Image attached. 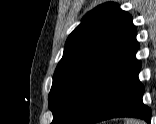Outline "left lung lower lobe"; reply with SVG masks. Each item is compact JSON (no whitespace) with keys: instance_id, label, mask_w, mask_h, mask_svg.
Listing matches in <instances>:
<instances>
[{"instance_id":"1","label":"left lung lower lobe","mask_w":156,"mask_h":124,"mask_svg":"<svg viewBox=\"0 0 156 124\" xmlns=\"http://www.w3.org/2000/svg\"><path fill=\"white\" fill-rule=\"evenodd\" d=\"M138 46L107 78L78 124H92L114 117H136L150 123L151 110L142 102L144 87L138 79L141 64Z\"/></svg>"}]
</instances>
